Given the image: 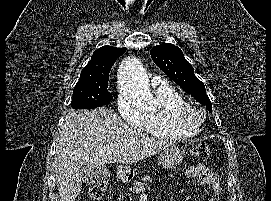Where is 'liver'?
<instances>
[{"instance_id": "6515ba94", "label": "liver", "mask_w": 271, "mask_h": 201, "mask_svg": "<svg viewBox=\"0 0 271 201\" xmlns=\"http://www.w3.org/2000/svg\"><path fill=\"white\" fill-rule=\"evenodd\" d=\"M170 145L169 140L149 137L126 124L109 108L69 111L56 139L54 158L60 201H74L80 194L83 179L79 170L86 163L133 164Z\"/></svg>"}]
</instances>
